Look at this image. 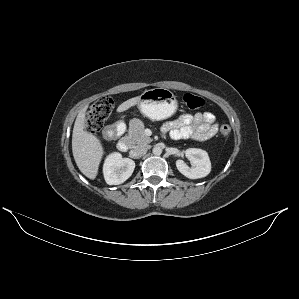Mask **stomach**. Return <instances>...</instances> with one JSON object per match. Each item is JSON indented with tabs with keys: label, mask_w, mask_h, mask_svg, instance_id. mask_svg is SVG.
Instances as JSON below:
<instances>
[{
	"label": "stomach",
	"mask_w": 299,
	"mask_h": 299,
	"mask_svg": "<svg viewBox=\"0 0 299 299\" xmlns=\"http://www.w3.org/2000/svg\"><path fill=\"white\" fill-rule=\"evenodd\" d=\"M137 104L140 112L151 120L169 118L177 110L176 96L166 88L146 90Z\"/></svg>",
	"instance_id": "obj_1"
}]
</instances>
